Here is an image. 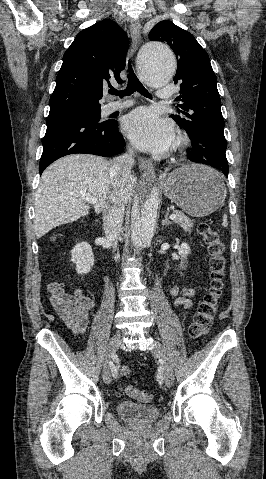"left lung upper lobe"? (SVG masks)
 <instances>
[{
  "instance_id": "left-lung-upper-lobe-1",
  "label": "left lung upper lobe",
  "mask_w": 266,
  "mask_h": 479,
  "mask_svg": "<svg viewBox=\"0 0 266 479\" xmlns=\"http://www.w3.org/2000/svg\"><path fill=\"white\" fill-rule=\"evenodd\" d=\"M151 41L167 43L177 58L174 82H180L178 111L181 116L171 117L189 135L191 161L215 167L228 166L224 119L217 90V78L209 56L194 36L171 21H161L149 33Z\"/></svg>"
}]
</instances>
